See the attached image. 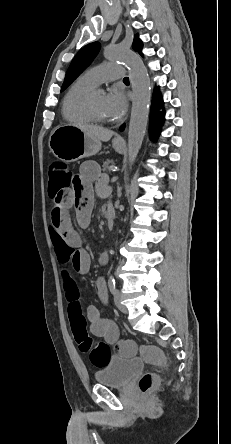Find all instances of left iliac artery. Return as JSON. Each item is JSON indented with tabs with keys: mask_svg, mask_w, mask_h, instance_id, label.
Here are the masks:
<instances>
[{
	"mask_svg": "<svg viewBox=\"0 0 231 444\" xmlns=\"http://www.w3.org/2000/svg\"><path fill=\"white\" fill-rule=\"evenodd\" d=\"M108 286H109L111 293L114 294L115 288H116V282H115V279L113 276H110L109 281H108Z\"/></svg>",
	"mask_w": 231,
	"mask_h": 444,
	"instance_id": "44dca946",
	"label": "left iliac artery"
}]
</instances>
